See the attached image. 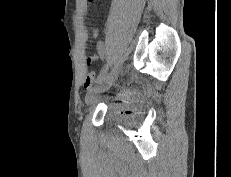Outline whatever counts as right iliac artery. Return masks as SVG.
I'll return each instance as SVG.
<instances>
[{
  "instance_id": "right-iliac-artery-1",
  "label": "right iliac artery",
  "mask_w": 231,
  "mask_h": 177,
  "mask_svg": "<svg viewBox=\"0 0 231 177\" xmlns=\"http://www.w3.org/2000/svg\"><path fill=\"white\" fill-rule=\"evenodd\" d=\"M107 71H108V64L102 69V71L98 75L97 80H96L97 83H101L103 81Z\"/></svg>"
}]
</instances>
